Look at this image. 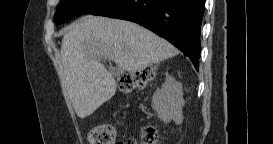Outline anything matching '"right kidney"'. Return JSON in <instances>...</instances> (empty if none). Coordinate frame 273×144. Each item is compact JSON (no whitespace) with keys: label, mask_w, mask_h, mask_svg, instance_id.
<instances>
[{"label":"right kidney","mask_w":273,"mask_h":144,"mask_svg":"<svg viewBox=\"0 0 273 144\" xmlns=\"http://www.w3.org/2000/svg\"><path fill=\"white\" fill-rule=\"evenodd\" d=\"M184 103L182 84L170 80L154 93L152 107L164 123L173 120L175 124H180L183 121Z\"/></svg>","instance_id":"obj_1"}]
</instances>
